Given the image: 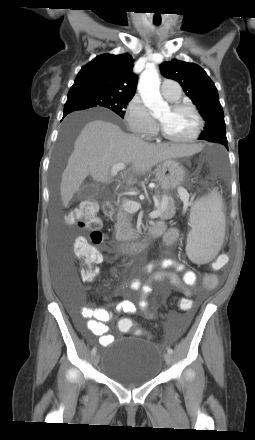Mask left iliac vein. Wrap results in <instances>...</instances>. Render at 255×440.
Returning <instances> with one entry per match:
<instances>
[{"instance_id":"1","label":"left iliac vein","mask_w":255,"mask_h":440,"mask_svg":"<svg viewBox=\"0 0 255 440\" xmlns=\"http://www.w3.org/2000/svg\"><path fill=\"white\" fill-rule=\"evenodd\" d=\"M164 359H165V362L167 363V365H171L172 364V355L170 354V353H166L165 355H164Z\"/></svg>"}]
</instances>
